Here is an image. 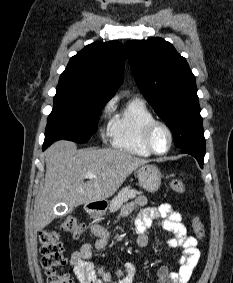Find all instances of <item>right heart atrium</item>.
I'll use <instances>...</instances> for the list:
<instances>
[{
  "label": "right heart atrium",
  "mask_w": 233,
  "mask_h": 283,
  "mask_svg": "<svg viewBox=\"0 0 233 283\" xmlns=\"http://www.w3.org/2000/svg\"><path fill=\"white\" fill-rule=\"evenodd\" d=\"M112 110H113V103L111 101H108L102 107L101 112H100V116L102 118H104V117L108 116L112 112ZM107 135H108L107 132H103L102 133V137L103 138H105Z\"/></svg>",
  "instance_id": "right-heart-atrium-1"
}]
</instances>
